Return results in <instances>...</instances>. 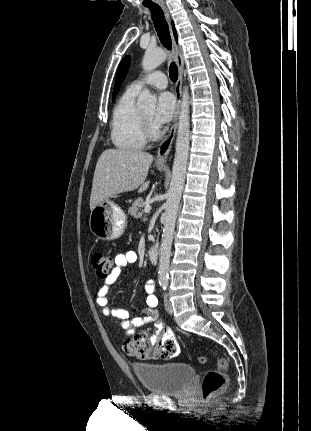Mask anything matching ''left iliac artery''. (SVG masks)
Here are the masks:
<instances>
[{
  "label": "left iliac artery",
  "instance_id": "left-iliac-artery-1",
  "mask_svg": "<svg viewBox=\"0 0 311 431\" xmlns=\"http://www.w3.org/2000/svg\"><path fill=\"white\" fill-rule=\"evenodd\" d=\"M161 286H162L163 290H166V288H167V283H162V284H161Z\"/></svg>",
  "mask_w": 311,
  "mask_h": 431
}]
</instances>
